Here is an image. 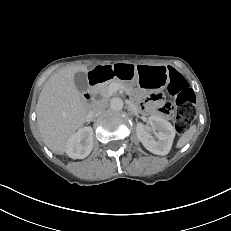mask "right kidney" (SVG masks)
Wrapping results in <instances>:
<instances>
[{"label": "right kidney", "instance_id": "obj_1", "mask_svg": "<svg viewBox=\"0 0 231 231\" xmlns=\"http://www.w3.org/2000/svg\"><path fill=\"white\" fill-rule=\"evenodd\" d=\"M93 149V129L90 126L79 129L73 134L66 146V154L73 159L86 158Z\"/></svg>", "mask_w": 231, "mask_h": 231}]
</instances>
